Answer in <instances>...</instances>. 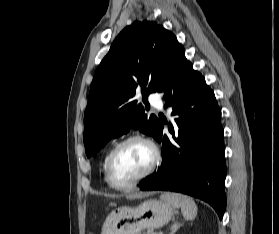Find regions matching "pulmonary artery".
Instances as JSON below:
<instances>
[{
	"label": "pulmonary artery",
	"instance_id": "pulmonary-artery-1",
	"mask_svg": "<svg viewBox=\"0 0 279 234\" xmlns=\"http://www.w3.org/2000/svg\"><path fill=\"white\" fill-rule=\"evenodd\" d=\"M150 102L152 103V105L161 110L163 108V102L161 100V98L157 95V94H151L149 96Z\"/></svg>",
	"mask_w": 279,
	"mask_h": 234
}]
</instances>
